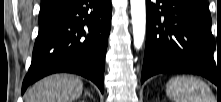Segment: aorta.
<instances>
[{
  "instance_id": "aorta-1",
  "label": "aorta",
  "mask_w": 221,
  "mask_h": 102,
  "mask_svg": "<svg viewBox=\"0 0 221 102\" xmlns=\"http://www.w3.org/2000/svg\"><path fill=\"white\" fill-rule=\"evenodd\" d=\"M130 4L134 46L139 50L146 32V2L145 0H130Z\"/></svg>"
}]
</instances>
